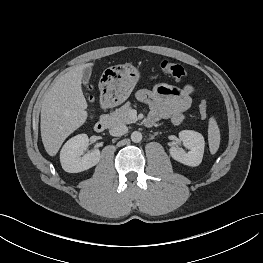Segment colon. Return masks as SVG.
Listing matches in <instances>:
<instances>
[{
	"mask_svg": "<svg viewBox=\"0 0 263 263\" xmlns=\"http://www.w3.org/2000/svg\"><path fill=\"white\" fill-rule=\"evenodd\" d=\"M161 72L169 77H172L176 80H181L185 77V69L172 61L164 60L160 64ZM199 111L202 118L207 117V104L205 100H201L199 103Z\"/></svg>",
	"mask_w": 263,
	"mask_h": 263,
	"instance_id": "1",
	"label": "colon"
}]
</instances>
